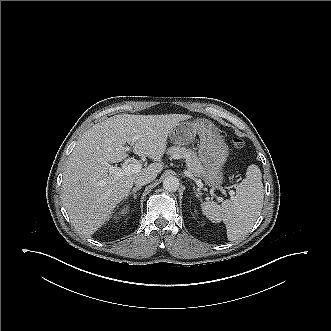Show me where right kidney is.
I'll return each mask as SVG.
<instances>
[{
    "mask_svg": "<svg viewBox=\"0 0 331 331\" xmlns=\"http://www.w3.org/2000/svg\"><path fill=\"white\" fill-rule=\"evenodd\" d=\"M129 211V207L127 206L121 211V214H126Z\"/></svg>",
    "mask_w": 331,
    "mask_h": 331,
    "instance_id": "1",
    "label": "right kidney"
}]
</instances>
